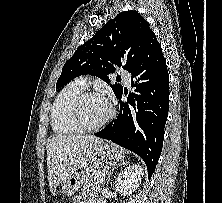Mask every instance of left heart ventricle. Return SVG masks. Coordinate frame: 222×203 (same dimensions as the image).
<instances>
[{"instance_id":"left-heart-ventricle-1","label":"left heart ventricle","mask_w":222,"mask_h":203,"mask_svg":"<svg viewBox=\"0 0 222 203\" xmlns=\"http://www.w3.org/2000/svg\"><path fill=\"white\" fill-rule=\"evenodd\" d=\"M110 111L108 101L103 97L87 98L82 104V116L88 124L102 121Z\"/></svg>"}]
</instances>
